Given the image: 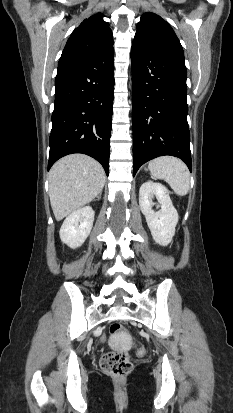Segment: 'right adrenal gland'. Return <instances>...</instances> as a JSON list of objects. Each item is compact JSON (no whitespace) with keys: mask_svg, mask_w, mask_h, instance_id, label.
I'll return each mask as SVG.
<instances>
[{"mask_svg":"<svg viewBox=\"0 0 233 413\" xmlns=\"http://www.w3.org/2000/svg\"><path fill=\"white\" fill-rule=\"evenodd\" d=\"M98 198V200L101 198V194L97 197Z\"/></svg>","mask_w":233,"mask_h":413,"instance_id":"1","label":"right adrenal gland"}]
</instances>
